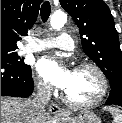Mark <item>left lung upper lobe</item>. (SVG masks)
<instances>
[{"mask_svg": "<svg viewBox=\"0 0 122 123\" xmlns=\"http://www.w3.org/2000/svg\"><path fill=\"white\" fill-rule=\"evenodd\" d=\"M80 31L84 53L103 71L111 89L122 84V52L113 16L103 0H60Z\"/></svg>", "mask_w": 122, "mask_h": 123, "instance_id": "left-lung-upper-lobe-1", "label": "left lung upper lobe"}]
</instances>
